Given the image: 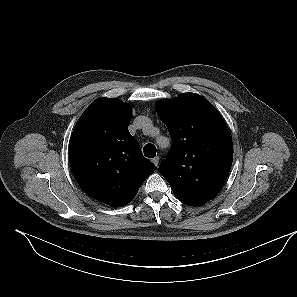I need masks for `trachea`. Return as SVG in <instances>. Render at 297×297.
Here are the masks:
<instances>
[{"mask_svg": "<svg viewBox=\"0 0 297 297\" xmlns=\"http://www.w3.org/2000/svg\"><path fill=\"white\" fill-rule=\"evenodd\" d=\"M144 155L148 158L156 156V147L153 144H146L143 148Z\"/></svg>", "mask_w": 297, "mask_h": 297, "instance_id": "trachea-1", "label": "trachea"}]
</instances>
